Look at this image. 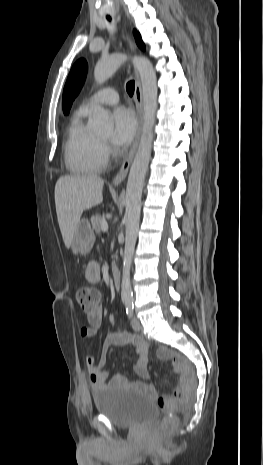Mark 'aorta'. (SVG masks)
<instances>
[{"mask_svg": "<svg viewBox=\"0 0 263 465\" xmlns=\"http://www.w3.org/2000/svg\"><path fill=\"white\" fill-rule=\"evenodd\" d=\"M127 59V55L115 53L98 61L94 68L95 81L99 84L104 83ZM132 62L137 68L141 79L144 121L140 143L130 168L125 196L126 232L121 282V298L124 303H131L133 300L130 268L140 223L143 184L151 158L158 95L157 77L152 63L143 56L134 57ZM89 125L95 133H109L112 130L109 112L100 106H96Z\"/></svg>", "mask_w": 263, "mask_h": 465, "instance_id": "762f6f07", "label": "aorta"}]
</instances>
